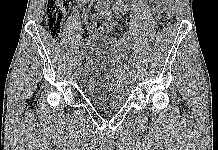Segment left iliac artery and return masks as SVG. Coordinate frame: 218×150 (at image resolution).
<instances>
[{
	"label": "left iliac artery",
	"mask_w": 218,
	"mask_h": 150,
	"mask_svg": "<svg viewBox=\"0 0 218 150\" xmlns=\"http://www.w3.org/2000/svg\"><path fill=\"white\" fill-rule=\"evenodd\" d=\"M105 15L107 17H109V18L111 17V10H110V5L109 4H107V8L105 10ZM135 70H136L135 66L128 67V72H130V73H133Z\"/></svg>",
	"instance_id": "1"
}]
</instances>
